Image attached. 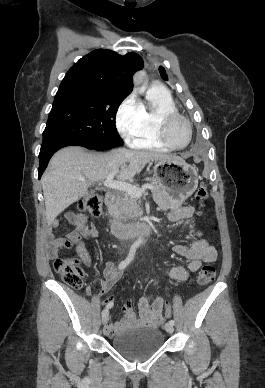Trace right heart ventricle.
Masks as SVG:
<instances>
[{
	"mask_svg": "<svg viewBox=\"0 0 265 388\" xmlns=\"http://www.w3.org/2000/svg\"><path fill=\"white\" fill-rule=\"evenodd\" d=\"M147 105L141 103V127L132 139L136 148L153 151H168V147L159 137L158 119L165 111H176L175 104L168 91H146Z\"/></svg>",
	"mask_w": 265,
	"mask_h": 388,
	"instance_id": "right-heart-ventricle-1",
	"label": "right heart ventricle"
}]
</instances>
